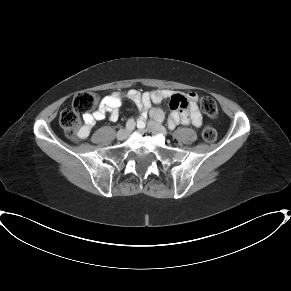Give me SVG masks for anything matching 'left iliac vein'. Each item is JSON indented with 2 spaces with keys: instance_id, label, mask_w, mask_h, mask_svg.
<instances>
[{
  "instance_id": "left-iliac-vein-1",
  "label": "left iliac vein",
  "mask_w": 291,
  "mask_h": 291,
  "mask_svg": "<svg viewBox=\"0 0 291 291\" xmlns=\"http://www.w3.org/2000/svg\"><path fill=\"white\" fill-rule=\"evenodd\" d=\"M147 126L152 129V130H155L159 133H161L162 135H166L167 134V131L166 129L159 123L153 121V120H150L148 123H147Z\"/></svg>"
}]
</instances>
